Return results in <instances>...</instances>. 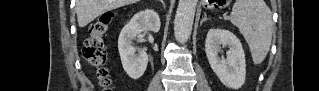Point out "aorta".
<instances>
[{
	"label": "aorta",
	"instance_id": "1",
	"mask_svg": "<svg viewBox=\"0 0 319 91\" xmlns=\"http://www.w3.org/2000/svg\"><path fill=\"white\" fill-rule=\"evenodd\" d=\"M197 0H179L174 20L176 40L184 44L190 37L196 11Z\"/></svg>",
	"mask_w": 319,
	"mask_h": 91
}]
</instances>
